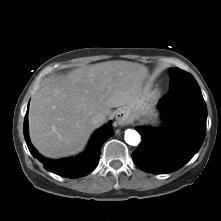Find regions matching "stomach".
Returning <instances> with one entry per match:
<instances>
[{
    "label": "stomach",
    "mask_w": 221,
    "mask_h": 221,
    "mask_svg": "<svg viewBox=\"0 0 221 221\" xmlns=\"http://www.w3.org/2000/svg\"><path fill=\"white\" fill-rule=\"evenodd\" d=\"M126 112L130 116H147L153 122L157 120V114L153 112V108L148 103L143 101H141L138 105L127 109Z\"/></svg>",
    "instance_id": "0dacf381"
}]
</instances>
